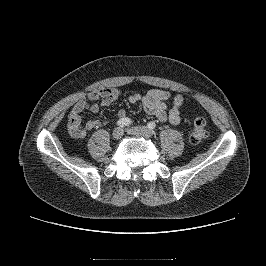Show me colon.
Masks as SVG:
<instances>
[{
    "label": "colon",
    "mask_w": 266,
    "mask_h": 266,
    "mask_svg": "<svg viewBox=\"0 0 266 266\" xmlns=\"http://www.w3.org/2000/svg\"><path fill=\"white\" fill-rule=\"evenodd\" d=\"M208 134L206 120L202 116H197L190 129V142L192 144H199L202 142Z\"/></svg>",
    "instance_id": "1"
}]
</instances>
